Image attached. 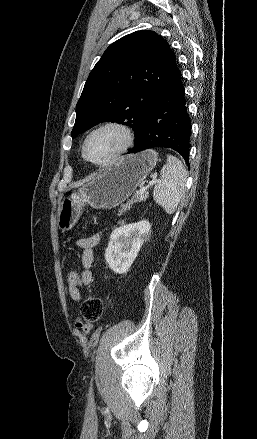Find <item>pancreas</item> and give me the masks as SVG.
Listing matches in <instances>:
<instances>
[{
	"instance_id": "obj_1",
	"label": "pancreas",
	"mask_w": 257,
	"mask_h": 439,
	"mask_svg": "<svg viewBox=\"0 0 257 439\" xmlns=\"http://www.w3.org/2000/svg\"><path fill=\"white\" fill-rule=\"evenodd\" d=\"M148 198V193L145 192L144 194H135L129 201H127L125 204L121 206L119 209V214H123L124 212L130 210L131 206L135 203L144 202Z\"/></svg>"
}]
</instances>
